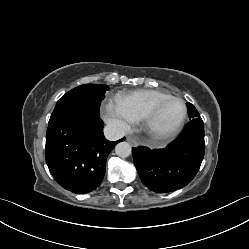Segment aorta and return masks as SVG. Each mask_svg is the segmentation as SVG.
Instances as JSON below:
<instances>
[{"instance_id":"762f6f07","label":"aorta","mask_w":249,"mask_h":249,"mask_svg":"<svg viewBox=\"0 0 249 249\" xmlns=\"http://www.w3.org/2000/svg\"><path fill=\"white\" fill-rule=\"evenodd\" d=\"M131 151V145L127 142H120L115 147V153L121 158H126L130 156Z\"/></svg>"}]
</instances>
